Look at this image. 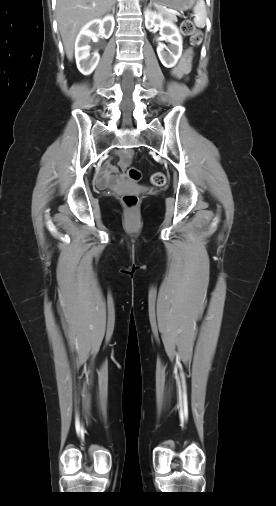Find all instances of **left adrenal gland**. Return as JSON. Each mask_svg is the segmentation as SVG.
I'll list each match as a JSON object with an SVG mask.
<instances>
[{
	"label": "left adrenal gland",
	"instance_id": "obj_1",
	"mask_svg": "<svg viewBox=\"0 0 276 506\" xmlns=\"http://www.w3.org/2000/svg\"><path fill=\"white\" fill-rule=\"evenodd\" d=\"M151 6H152V2H150V4H149V7H151Z\"/></svg>",
	"mask_w": 276,
	"mask_h": 506
}]
</instances>
